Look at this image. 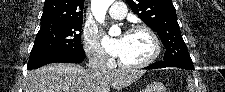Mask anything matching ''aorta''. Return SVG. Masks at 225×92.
<instances>
[{"label":"aorta","instance_id":"obj_1","mask_svg":"<svg viewBox=\"0 0 225 92\" xmlns=\"http://www.w3.org/2000/svg\"><path fill=\"white\" fill-rule=\"evenodd\" d=\"M114 2V0H92L91 1V10L95 17V19L99 23H104L105 15L110 7V5ZM119 29L117 27H111L109 30L110 34H114Z\"/></svg>","mask_w":225,"mask_h":92}]
</instances>
